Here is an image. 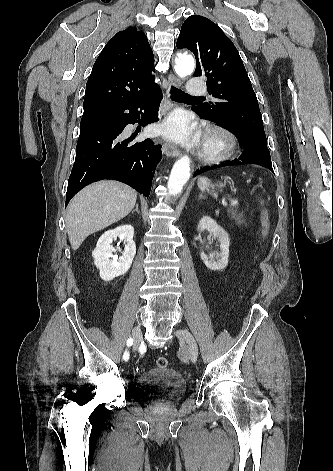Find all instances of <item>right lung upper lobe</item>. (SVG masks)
Returning a JSON list of instances; mask_svg holds the SVG:
<instances>
[{
    "label": "right lung upper lobe",
    "mask_w": 333,
    "mask_h": 471,
    "mask_svg": "<svg viewBox=\"0 0 333 471\" xmlns=\"http://www.w3.org/2000/svg\"><path fill=\"white\" fill-rule=\"evenodd\" d=\"M154 56L143 32H118L98 56L86 84L82 117L142 96L154 83Z\"/></svg>",
    "instance_id": "cb5924a9"
}]
</instances>
